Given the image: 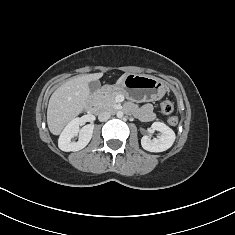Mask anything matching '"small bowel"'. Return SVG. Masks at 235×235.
<instances>
[{"label": "small bowel", "instance_id": "obj_1", "mask_svg": "<svg viewBox=\"0 0 235 235\" xmlns=\"http://www.w3.org/2000/svg\"><path fill=\"white\" fill-rule=\"evenodd\" d=\"M139 117L142 121H151L154 119V114L151 105H144L139 112Z\"/></svg>", "mask_w": 235, "mask_h": 235}]
</instances>
